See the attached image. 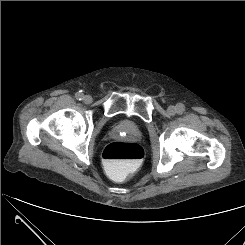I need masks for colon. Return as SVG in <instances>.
<instances>
[{"mask_svg": "<svg viewBox=\"0 0 245 245\" xmlns=\"http://www.w3.org/2000/svg\"><path fill=\"white\" fill-rule=\"evenodd\" d=\"M143 158V148L135 143L111 142L103 151L106 170L120 181L125 179L127 169L138 166Z\"/></svg>", "mask_w": 245, "mask_h": 245, "instance_id": "5ec220e1", "label": "colon"}]
</instances>
